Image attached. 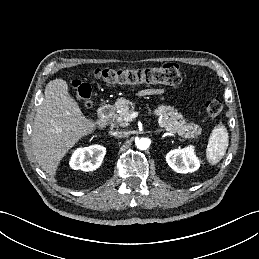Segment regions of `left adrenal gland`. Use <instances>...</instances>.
<instances>
[{"label": "left adrenal gland", "mask_w": 259, "mask_h": 259, "mask_svg": "<svg viewBox=\"0 0 259 259\" xmlns=\"http://www.w3.org/2000/svg\"><path fill=\"white\" fill-rule=\"evenodd\" d=\"M162 131H163V129H159V130L156 131V134H159V133H161Z\"/></svg>", "instance_id": "a2214340"}]
</instances>
